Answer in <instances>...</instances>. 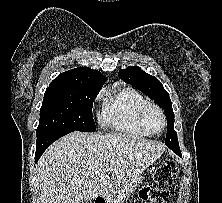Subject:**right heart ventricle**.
I'll return each instance as SVG.
<instances>
[{"instance_id": "obj_1", "label": "right heart ventricle", "mask_w": 222, "mask_h": 203, "mask_svg": "<svg viewBox=\"0 0 222 203\" xmlns=\"http://www.w3.org/2000/svg\"><path fill=\"white\" fill-rule=\"evenodd\" d=\"M146 99L131 87L115 85L104 93L101 123L117 133L146 137L150 133L139 119L140 109Z\"/></svg>"}]
</instances>
